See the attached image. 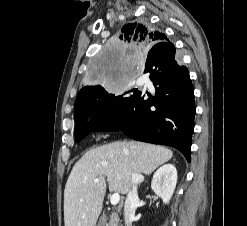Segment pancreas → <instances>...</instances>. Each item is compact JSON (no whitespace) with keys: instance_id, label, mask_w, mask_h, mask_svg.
Returning a JSON list of instances; mask_svg holds the SVG:
<instances>
[{"instance_id":"1","label":"pancreas","mask_w":247,"mask_h":226,"mask_svg":"<svg viewBox=\"0 0 247 226\" xmlns=\"http://www.w3.org/2000/svg\"><path fill=\"white\" fill-rule=\"evenodd\" d=\"M107 226H119V218L116 214L112 213L110 215V221Z\"/></svg>"}]
</instances>
